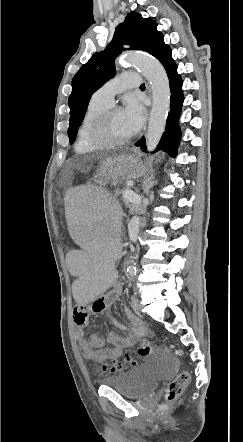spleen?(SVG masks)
Masks as SVG:
<instances>
[{
	"label": "spleen",
	"mask_w": 243,
	"mask_h": 442,
	"mask_svg": "<svg viewBox=\"0 0 243 442\" xmlns=\"http://www.w3.org/2000/svg\"><path fill=\"white\" fill-rule=\"evenodd\" d=\"M93 176V171H87ZM114 182L105 177H96L95 181L77 183L71 193H63V202L67 207L73 242H79L83 254H75L71 261L74 274H79L80 282L73 287V296H78L81 307H88L96 302L101 291L110 294L119 285L116 274V258H120V249L115 226L105 219H119L120 212L113 193ZM111 227V228H110Z\"/></svg>",
	"instance_id": "spleen-1"
}]
</instances>
